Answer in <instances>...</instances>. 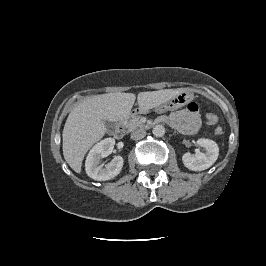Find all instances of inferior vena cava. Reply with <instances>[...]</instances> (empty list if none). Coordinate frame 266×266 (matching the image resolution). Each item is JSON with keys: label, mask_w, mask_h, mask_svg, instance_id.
Returning a JSON list of instances; mask_svg holds the SVG:
<instances>
[{"label": "inferior vena cava", "mask_w": 266, "mask_h": 266, "mask_svg": "<svg viewBox=\"0 0 266 266\" xmlns=\"http://www.w3.org/2000/svg\"><path fill=\"white\" fill-rule=\"evenodd\" d=\"M146 135V132L143 129H137L131 133V139L132 140H140L144 138Z\"/></svg>", "instance_id": "obj_1"}]
</instances>
